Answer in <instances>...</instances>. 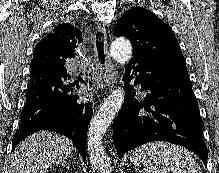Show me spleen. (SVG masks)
<instances>
[{
  "label": "spleen",
  "instance_id": "obj_1",
  "mask_svg": "<svg viewBox=\"0 0 219 173\" xmlns=\"http://www.w3.org/2000/svg\"><path fill=\"white\" fill-rule=\"evenodd\" d=\"M131 162L135 167L142 163L145 165L141 173H202L190 152L181 146L161 141L137 148Z\"/></svg>",
  "mask_w": 219,
  "mask_h": 173
}]
</instances>
